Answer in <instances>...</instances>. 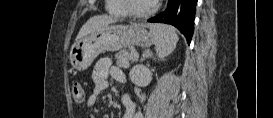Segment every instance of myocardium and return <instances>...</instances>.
<instances>
[{
    "label": "myocardium",
    "mask_w": 273,
    "mask_h": 118,
    "mask_svg": "<svg viewBox=\"0 0 273 118\" xmlns=\"http://www.w3.org/2000/svg\"><path fill=\"white\" fill-rule=\"evenodd\" d=\"M132 0H124L126 12L130 16L137 17V18H144L153 15L157 10V4L152 2L151 6L146 11H136L132 8Z\"/></svg>",
    "instance_id": "1"
}]
</instances>
